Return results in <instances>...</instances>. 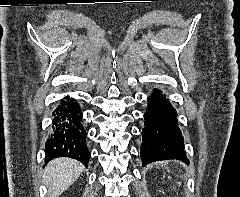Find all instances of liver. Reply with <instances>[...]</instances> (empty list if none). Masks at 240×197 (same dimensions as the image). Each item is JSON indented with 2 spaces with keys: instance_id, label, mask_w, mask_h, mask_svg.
<instances>
[{
  "instance_id": "liver-1",
  "label": "liver",
  "mask_w": 240,
  "mask_h": 197,
  "mask_svg": "<svg viewBox=\"0 0 240 197\" xmlns=\"http://www.w3.org/2000/svg\"><path fill=\"white\" fill-rule=\"evenodd\" d=\"M83 165L71 158H56L49 162L43 174V182L49 188V197H58L80 176Z\"/></svg>"
}]
</instances>
